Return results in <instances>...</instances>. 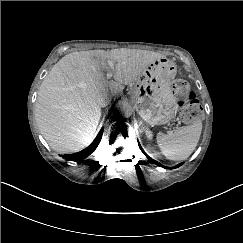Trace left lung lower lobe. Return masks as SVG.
<instances>
[{
	"mask_svg": "<svg viewBox=\"0 0 243 243\" xmlns=\"http://www.w3.org/2000/svg\"><path fill=\"white\" fill-rule=\"evenodd\" d=\"M139 147H140V149L142 150V152L146 155V153L144 152V150L142 149V147L140 146V144H139ZM146 156H147V155H146ZM147 158H148L152 163H154V164H156V165H158V166H161V167H164V168H168V167H165V166L161 165L160 163L156 162L155 160L151 159L149 156H147ZM181 165H182V163L178 164V165L175 166V167L169 168V169L177 168V167H179V166H181Z\"/></svg>",
	"mask_w": 243,
	"mask_h": 243,
	"instance_id": "obj_1",
	"label": "left lung lower lobe"
}]
</instances>
